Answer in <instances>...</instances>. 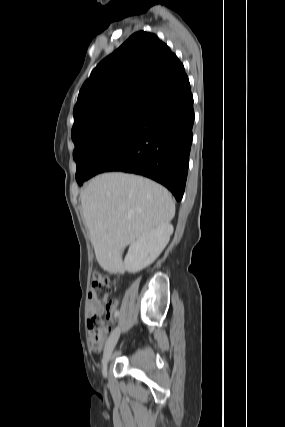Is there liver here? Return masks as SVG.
I'll use <instances>...</instances> for the list:
<instances>
[{"instance_id": "liver-1", "label": "liver", "mask_w": 285, "mask_h": 427, "mask_svg": "<svg viewBox=\"0 0 285 427\" xmlns=\"http://www.w3.org/2000/svg\"><path fill=\"white\" fill-rule=\"evenodd\" d=\"M80 199L96 259L104 268H121L126 246L175 215L168 190L147 178L120 172L93 178Z\"/></svg>"}]
</instances>
